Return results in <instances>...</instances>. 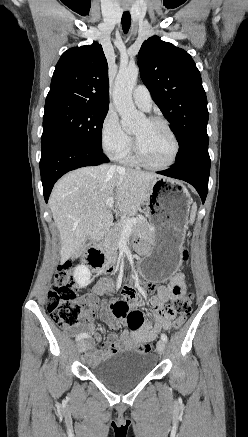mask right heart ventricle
Listing matches in <instances>:
<instances>
[{"instance_id": "e07e8e85", "label": "right heart ventricle", "mask_w": 248, "mask_h": 437, "mask_svg": "<svg viewBox=\"0 0 248 437\" xmlns=\"http://www.w3.org/2000/svg\"><path fill=\"white\" fill-rule=\"evenodd\" d=\"M124 162L129 163V164H134L136 163V159L135 157L132 155V153L130 152V150L124 154L122 157H120Z\"/></svg>"}]
</instances>
